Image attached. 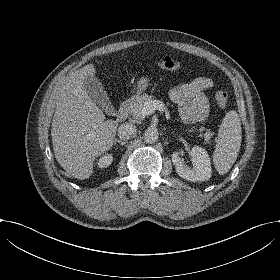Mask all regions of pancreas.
I'll return each mask as SVG.
<instances>
[{"mask_svg":"<svg viewBox=\"0 0 280 280\" xmlns=\"http://www.w3.org/2000/svg\"><path fill=\"white\" fill-rule=\"evenodd\" d=\"M152 100H153V97L148 94L137 96L135 101H133L131 104H129L127 106V109L129 110V113L132 115L133 118L142 119L143 118L142 109H143L144 105ZM192 131L193 130H190V132H192ZM199 131L203 132V131H205V128L200 127ZM200 136H202V134H200ZM212 136H213V133L209 129H207L206 132L204 133L205 143H211Z\"/></svg>","mask_w":280,"mask_h":280,"instance_id":"1","label":"pancreas"}]
</instances>
